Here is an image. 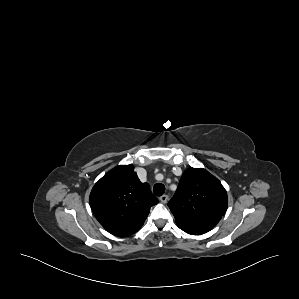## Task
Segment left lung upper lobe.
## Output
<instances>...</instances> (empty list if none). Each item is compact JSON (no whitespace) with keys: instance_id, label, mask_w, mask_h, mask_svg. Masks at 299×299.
I'll return each instance as SVG.
<instances>
[{"instance_id":"5c2ea615","label":"left lung upper lobe","mask_w":299,"mask_h":299,"mask_svg":"<svg viewBox=\"0 0 299 299\" xmlns=\"http://www.w3.org/2000/svg\"><path fill=\"white\" fill-rule=\"evenodd\" d=\"M227 203L226 190L217 178L205 169L190 167L183 173L168 206L181 230L201 235L217 225Z\"/></svg>"}]
</instances>
